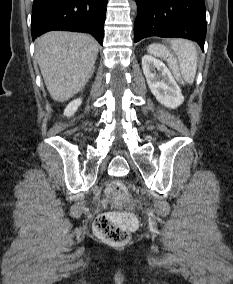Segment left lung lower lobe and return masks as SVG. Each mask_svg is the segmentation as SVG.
<instances>
[{"mask_svg": "<svg viewBox=\"0 0 233 284\" xmlns=\"http://www.w3.org/2000/svg\"><path fill=\"white\" fill-rule=\"evenodd\" d=\"M138 15L135 42L149 37H182L204 49L206 17L204 0H135Z\"/></svg>", "mask_w": 233, "mask_h": 284, "instance_id": "0a47b994", "label": "left lung lower lobe"}]
</instances>
